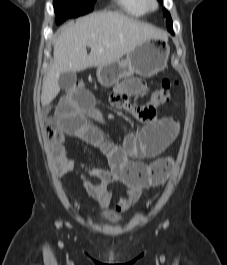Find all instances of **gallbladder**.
<instances>
[{
  "mask_svg": "<svg viewBox=\"0 0 227 265\" xmlns=\"http://www.w3.org/2000/svg\"><path fill=\"white\" fill-rule=\"evenodd\" d=\"M76 80H77V76L75 72L69 71V72L62 73L59 77V86L61 89L66 90L70 88L71 86H73Z\"/></svg>",
  "mask_w": 227,
  "mask_h": 265,
  "instance_id": "bac80fb5",
  "label": "gallbladder"
}]
</instances>
